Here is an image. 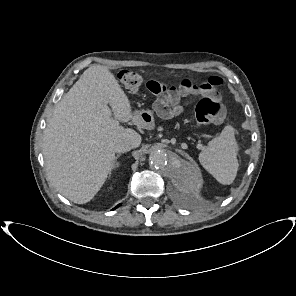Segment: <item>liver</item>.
Returning <instances> with one entry per match:
<instances>
[{"instance_id":"1","label":"liver","mask_w":296,"mask_h":296,"mask_svg":"<svg viewBox=\"0 0 296 296\" xmlns=\"http://www.w3.org/2000/svg\"><path fill=\"white\" fill-rule=\"evenodd\" d=\"M132 119L130 101L107 67L85 70L56 105L44 132L43 155L54 188L74 203L89 202L110 173L116 143L127 139L139 146L135 130L114 122Z\"/></svg>"}]
</instances>
